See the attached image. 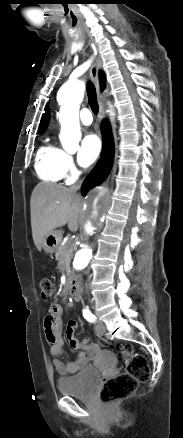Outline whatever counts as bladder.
I'll list each match as a JSON object with an SVG mask.
<instances>
[{
    "label": "bladder",
    "mask_w": 183,
    "mask_h": 438,
    "mask_svg": "<svg viewBox=\"0 0 183 438\" xmlns=\"http://www.w3.org/2000/svg\"><path fill=\"white\" fill-rule=\"evenodd\" d=\"M100 379V374L95 367H86L74 376L60 378L57 388L62 395L87 399L93 395Z\"/></svg>",
    "instance_id": "1"
}]
</instances>
